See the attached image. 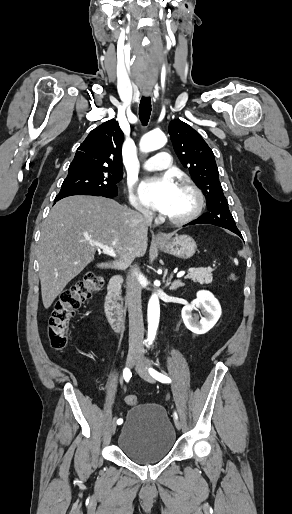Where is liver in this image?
I'll return each mask as SVG.
<instances>
[{"label":"liver","mask_w":292,"mask_h":514,"mask_svg":"<svg viewBox=\"0 0 292 514\" xmlns=\"http://www.w3.org/2000/svg\"><path fill=\"white\" fill-rule=\"evenodd\" d=\"M143 216L115 200L96 196H69L53 206L41 224L38 246L39 278L44 308L48 310L68 282L78 276L98 250L114 248L119 260L97 268L126 270L147 250Z\"/></svg>","instance_id":"liver-1"}]
</instances>
